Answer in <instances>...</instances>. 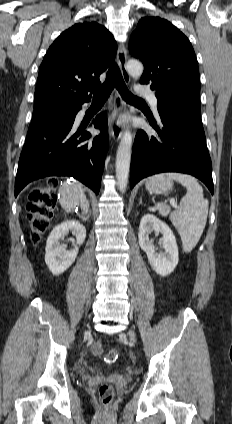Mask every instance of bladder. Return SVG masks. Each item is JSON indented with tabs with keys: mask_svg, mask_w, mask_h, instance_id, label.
Instances as JSON below:
<instances>
[{
	"mask_svg": "<svg viewBox=\"0 0 232 424\" xmlns=\"http://www.w3.org/2000/svg\"><path fill=\"white\" fill-rule=\"evenodd\" d=\"M91 371L95 372V373H99V372L102 371V368L101 367H95V368H92Z\"/></svg>",
	"mask_w": 232,
	"mask_h": 424,
	"instance_id": "31cf9c89",
	"label": "bladder"
}]
</instances>
